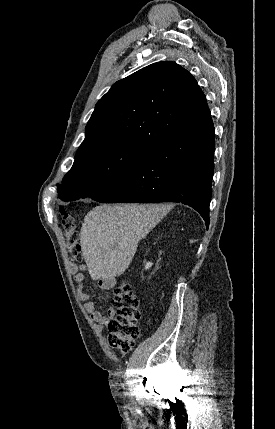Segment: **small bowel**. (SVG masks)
I'll list each match as a JSON object with an SVG mask.
<instances>
[{
  "label": "small bowel",
  "mask_w": 275,
  "mask_h": 429,
  "mask_svg": "<svg viewBox=\"0 0 275 429\" xmlns=\"http://www.w3.org/2000/svg\"><path fill=\"white\" fill-rule=\"evenodd\" d=\"M72 272L74 273L75 283H77L81 287L84 281L83 273L79 272L77 267H73ZM98 285L103 290H108L111 287L110 282L102 279L98 281ZM79 295H80V298L84 301L83 306L85 311L90 315L91 319L96 324L107 325L114 318L116 311L113 307H110L107 310V313L104 315L96 308L95 303L92 300H90V296L88 293L80 289Z\"/></svg>",
  "instance_id": "obj_1"
}]
</instances>
